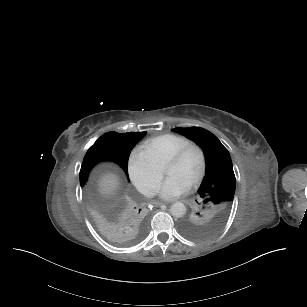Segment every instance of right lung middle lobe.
<instances>
[{
    "mask_svg": "<svg viewBox=\"0 0 307 307\" xmlns=\"http://www.w3.org/2000/svg\"><path fill=\"white\" fill-rule=\"evenodd\" d=\"M115 160L122 163L121 158L113 153L106 145L101 142H95L93 146L87 151L80 170V184L81 186L86 182L88 174L92 167L100 161Z\"/></svg>",
    "mask_w": 307,
    "mask_h": 307,
    "instance_id": "dd1d6c3e",
    "label": "right lung middle lobe"
}]
</instances>
